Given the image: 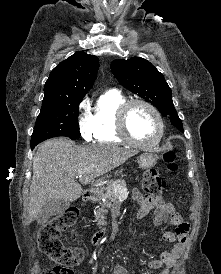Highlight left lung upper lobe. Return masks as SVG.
<instances>
[{"mask_svg":"<svg viewBox=\"0 0 221 274\" xmlns=\"http://www.w3.org/2000/svg\"><path fill=\"white\" fill-rule=\"evenodd\" d=\"M111 70L125 88L152 103L163 116H170L171 123L184 131L174 108L171 89L164 76L150 62L140 57L114 60Z\"/></svg>","mask_w":221,"mask_h":274,"instance_id":"left-lung-upper-lobe-1","label":"left lung upper lobe"}]
</instances>
